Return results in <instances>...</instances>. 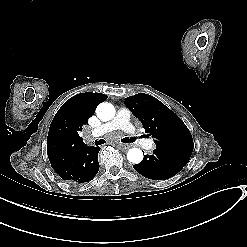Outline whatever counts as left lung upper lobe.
Returning a JSON list of instances; mask_svg holds the SVG:
<instances>
[{
    "label": "left lung upper lobe",
    "instance_id": "obj_1",
    "mask_svg": "<svg viewBox=\"0 0 247 247\" xmlns=\"http://www.w3.org/2000/svg\"><path fill=\"white\" fill-rule=\"evenodd\" d=\"M125 105L142 122L145 133L155 138L157 149L189 161L193 139L187 126L172 110L145 93L125 98Z\"/></svg>",
    "mask_w": 247,
    "mask_h": 247
}]
</instances>
